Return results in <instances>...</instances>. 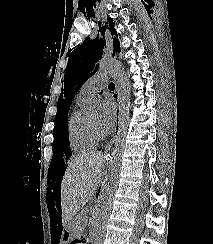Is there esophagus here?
Wrapping results in <instances>:
<instances>
[{"label":"esophagus","instance_id":"1","mask_svg":"<svg viewBox=\"0 0 213 244\" xmlns=\"http://www.w3.org/2000/svg\"><path fill=\"white\" fill-rule=\"evenodd\" d=\"M115 122H116L115 123V133L113 135L112 140L108 143V146H107V148L105 150V155L109 159L111 158V153H112L113 148H114V142H115V139H116V130L120 126V109H118V111H116V119H115Z\"/></svg>","mask_w":213,"mask_h":244}]
</instances>
